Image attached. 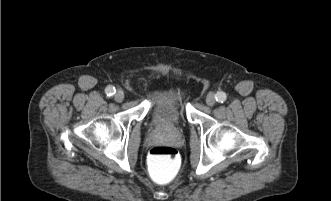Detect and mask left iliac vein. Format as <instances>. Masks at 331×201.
Masks as SVG:
<instances>
[{"label":"left iliac vein","instance_id":"left-iliac-vein-1","mask_svg":"<svg viewBox=\"0 0 331 201\" xmlns=\"http://www.w3.org/2000/svg\"><path fill=\"white\" fill-rule=\"evenodd\" d=\"M206 103L208 106H213L215 104V95L210 92L206 97Z\"/></svg>","mask_w":331,"mask_h":201}]
</instances>
